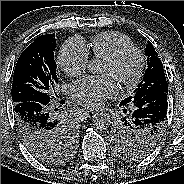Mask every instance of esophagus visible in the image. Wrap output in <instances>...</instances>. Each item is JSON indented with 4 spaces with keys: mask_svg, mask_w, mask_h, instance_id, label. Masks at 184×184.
Masks as SVG:
<instances>
[{
    "mask_svg": "<svg viewBox=\"0 0 184 184\" xmlns=\"http://www.w3.org/2000/svg\"><path fill=\"white\" fill-rule=\"evenodd\" d=\"M85 112L87 113V114H90V113H95L96 111H89V110H85Z\"/></svg>",
    "mask_w": 184,
    "mask_h": 184,
    "instance_id": "esophagus-1",
    "label": "esophagus"
}]
</instances>
